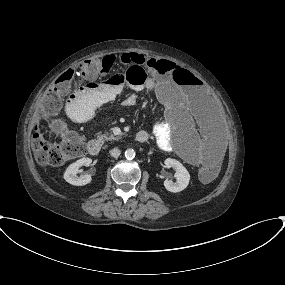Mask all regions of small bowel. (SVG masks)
<instances>
[{
	"instance_id": "c3829d8e",
	"label": "small bowel",
	"mask_w": 285,
	"mask_h": 285,
	"mask_svg": "<svg viewBox=\"0 0 285 285\" xmlns=\"http://www.w3.org/2000/svg\"><path fill=\"white\" fill-rule=\"evenodd\" d=\"M123 62L138 63L140 61L154 60V57L146 58L135 53H125L122 56ZM152 80L143 87H133L130 94L124 96L121 100L123 106H133L137 102V92L143 89L156 90L154 79L160 78L165 83H173L174 78L170 76H161L155 68L149 69ZM191 79V78H190ZM123 87L119 83L111 80L109 82H99L97 80L89 81L85 85L75 89L66 102V113L73 119L82 120L86 117V110L99 106L102 103L111 102L121 97ZM198 100L196 91H193L191 97L179 96L177 98H164L162 100L166 111V120L156 124L153 128V135L158 147L167 149L172 146L173 138L171 125H180L182 119L188 122H197V128L181 140L184 148V158L186 161L197 164L207 165L215 160L216 156L224 149V139L218 131L211 126L208 120L197 119L194 116L193 104ZM80 105L81 108H76ZM197 119V120H196ZM149 138V133L146 131Z\"/></svg>"
}]
</instances>
